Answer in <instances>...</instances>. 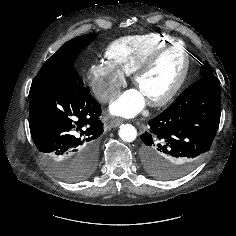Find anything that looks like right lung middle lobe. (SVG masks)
Listing matches in <instances>:
<instances>
[{"mask_svg": "<svg viewBox=\"0 0 236 236\" xmlns=\"http://www.w3.org/2000/svg\"><path fill=\"white\" fill-rule=\"evenodd\" d=\"M97 34L91 33L76 37L62 45L42 66L36 78H58L76 73L73 64L78 52L88 46ZM53 172L67 181H79L87 178L93 172L96 160L86 158L78 163L67 161H49Z\"/></svg>", "mask_w": 236, "mask_h": 236, "instance_id": "right-lung-middle-lobe-1", "label": "right lung middle lobe"}]
</instances>
